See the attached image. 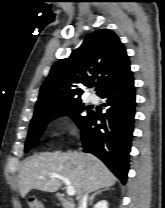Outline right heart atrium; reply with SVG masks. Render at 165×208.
I'll return each instance as SVG.
<instances>
[{"label": "right heart atrium", "mask_w": 165, "mask_h": 208, "mask_svg": "<svg viewBox=\"0 0 165 208\" xmlns=\"http://www.w3.org/2000/svg\"><path fill=\"white\" fill-rule=\"evenodd\" d=\"M69 131H73V127L71 125L68 126Z\"/></svg>", "instance_id": "d8ad5b80"}]
</instances>
